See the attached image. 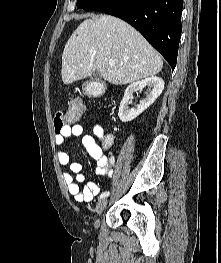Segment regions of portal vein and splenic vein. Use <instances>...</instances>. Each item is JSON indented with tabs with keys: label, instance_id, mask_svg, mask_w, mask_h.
<instances>
[{
	"label": "portal vein and splenic vein",
	"instance_id": "18ae733b",
	"mask_svg": "<svg viewBox=\"0 0 221 263\" xmlns=\"http://www.w3.org/2000/svg\"><path fill=\"white\" fill-rule=\"evenodd\" d=\"M108 62H109V64L112 65V66L115 65V61L112 60V59H110Z\"/></svg>",
	"mask_w": 221,
	"mask_h": 263
}]
</instances>
